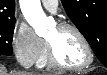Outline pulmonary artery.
Instances as JSON below:
<instances>
[{"label": "pulmonary artery", "instance_id": "e3ab8cb5", "mask_svg": "<svg viewBox=\"0 0 107 75\" xmlns=\"http://www.w3.org/2000/svg\"><path fill=\"white\" fill-rule=\"evenodd\" d=\"M43 6L50 12H56L58 7V1L57 0H42Z\"/></svg>", "mask_w": 107, "mask_h": 75}]
</instances>
